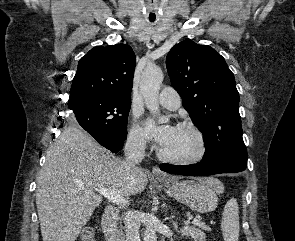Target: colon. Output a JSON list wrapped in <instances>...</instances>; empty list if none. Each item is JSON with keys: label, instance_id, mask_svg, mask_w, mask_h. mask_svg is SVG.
Here are the masks:
<instances>
[{"label": "colon", "instance_id": "obj_1", "mask_svg": "<svg viewBox=\"0 0 295 241\" xmlns=\"http://www.w3.org/2000/svg\"><path fill=\"white\" fill-rule=\"evenodd\" d=\"M94 231L91 227H86L82 230L80 241H93Z\"/></svg>", "mask_w": 295, "mask_h": 241}]
</instances>
